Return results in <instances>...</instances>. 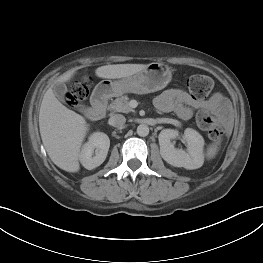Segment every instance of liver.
Instances as JSON below:
<instances>
[{"label":"liver","mask_w":263,"mask_h":263,"mask_svg":"<svg viewBox=\"0 0 263 263\" xmlns=\"http://www.w3.org/2000/svg\"><path fill=\"white\" fill-rule=\"evenodd\" d=\"M145 64H114L98 67L96 76L117 79L134 75L143 70ZM74 72H67L55 82L69 81ZM39 128L43 145L59 168L67 172L80 169L79 154L81 145L89 130L85 118L68 109L56 98L52 87L44 94L40 112Z\"/></svg>","instance_id":"6515ba94"}]
</instances>
